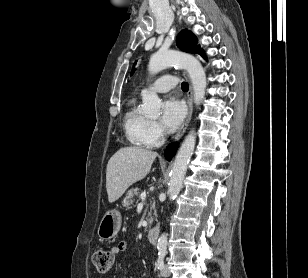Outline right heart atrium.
Wrapping results in <instances>:
<instances>
[{
	"label": "right heart atrium",
	"mask_w": 308,
	"mask_h": 278,
	"mask_svg": "<svg viewBox=\"0 0 308 278\" xmlns=\"http://www.w3.org/2000/svg\"><path fill=\"white\" fill-rule=\"evenodd\" d=\"M163 137L164 132L161 126L154 121H150L147 132L149 146H158L162 142Z\"/></svg>",
	"instance_id": "d8ad5b80"
}]
</instances>
